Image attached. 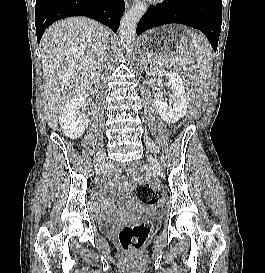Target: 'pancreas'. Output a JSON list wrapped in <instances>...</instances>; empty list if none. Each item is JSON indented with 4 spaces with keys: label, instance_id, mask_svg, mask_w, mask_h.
<instances>
[{
    "label": "pancreas",
    "instance_id": "pancreas-1",
    "mask_svg": "<svg viewBox=\"0 0 265 273\" xmlns=\"http://www.w3.org/2000/svg\"><path fill=\"white\" fill-rule=\"evenodd\" d=\"M154 62H159L162 63L164 65H175L178 63L177 60H175L173 57H165V58H161V57H154Z\"/></svg>",
    "mask_w": 265,
    "mask_h": 273
}]
</instances>
